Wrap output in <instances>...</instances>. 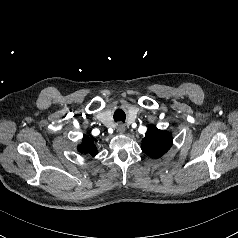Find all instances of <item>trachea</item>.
<instances>
[{
    "label": "trachea",
    "mask_w": 238,
    "mask_h": 238,
    "mask_svg": "<svg viewBox=\"0 0 238 238\" xmlns=\"http://www.w3.org/2000/svg\"><path fill=\"white\" fill-rule=\"evenodd\" d=\"M125 119H126V115H125L124 111H122L121 109H118L115 111V113H114L115 121L125 122Z\"/></svg>",
    "instance_id": "trachea-1"
}]
</instances>
